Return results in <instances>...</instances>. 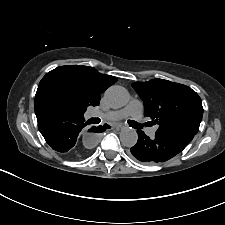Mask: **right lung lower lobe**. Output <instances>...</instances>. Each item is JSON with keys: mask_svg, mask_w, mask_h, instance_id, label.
I'll use <instances>...</instances> for the list:
<instances>
[{"mask_svg": "<svg viewBox=\"0 0 225 225\" xmlns=\"http://www.w3.org/2000/svg\"><path fill=\"white\" fill-rule=\"evenodd\" d=\"M34 106L38 129L48 145L69 158H83L86 151L78 147L80 135L88 124L83 114L74 113L45 99L35 100ZM108 127H91L88 131L102 132ZM85 147L88 149L89 144L86 143Z\"/></svg>", "mask_w": 225, "mask_h": 225, "instance_id": "1", "label": "right lung lower lobe"}]
</instances>
